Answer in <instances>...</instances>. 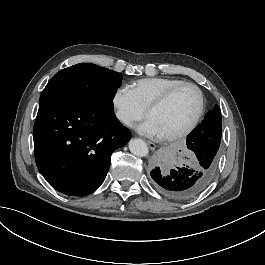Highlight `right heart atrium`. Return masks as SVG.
Masks as SVG:
<instances>
[{"mask_svg":"<svg viewBox=\"0 0 265 265\" xmlns=\"http://www.w3.org/2000/svg\"><path fill=\"white\" fill-rule=\"evenodd\" d=\"M112 106L117 122L130 129H135L139 121L145 116V111L138 102L133 100V95L125 85H120L111 93Z\"/></svg>","mask_w":265,"mask_h":265,"instance_id":"d8ad5b80","label":"right heart atrium"}]
</instances>
